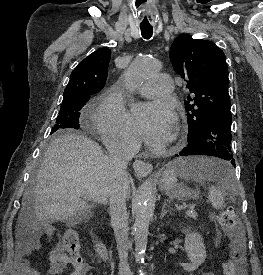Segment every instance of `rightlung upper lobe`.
<instances>
[{"instance_id":"obj_1","label":"right lung upper lobe","mask_w":263,"mask_h":275,"mask_svg":"<svg viewBox=\"0 0 263 275\" xmlns=\"http://www.w3.org/2000/svg\"><path fill=\"white\" fill-rule=\"evenodd\" d=\"M110 56L111 50L104 47L82 60L72 71L63 98L77 94L98 93L105 85Z\"/></svg>"}]
</instances>
